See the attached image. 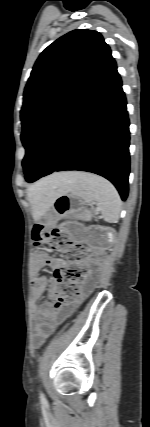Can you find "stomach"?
<instances>
[{"label": "stomach", "instance_id": "0dacf381", "mask_svg": "<svg viewBox=\"0 0 150 427\" xmlns=\"http://www.w3.org/2000/svg\"><path fill=\"white\" fill-rule=\"evenodd\" d=\"M83 200L78 196L66 192H60L52 202L55 213L63 217H82L84 215Z\"/></svg>", "mask_w": 150, "mask_h": 427}]
</instances>
